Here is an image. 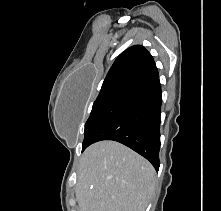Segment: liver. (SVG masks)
Listing matches in <instances>:
<instances>
[{
	"label": "liver",
	"instance_id": "6515ba94",
	"mask_svg": "<svg viewBox=\"0 0 221 211\" xmlns=\"http://www.w3.org/2000/svg\"><path fill=\"white\" fill-rule=\"evenodd\" d=\"M156 172L142 156L115 141H101L83 153L76 199L80 211H145Z\"/></svg>",
	"mask_w": 221,
	"mask_h": 211
}]
</instances>
